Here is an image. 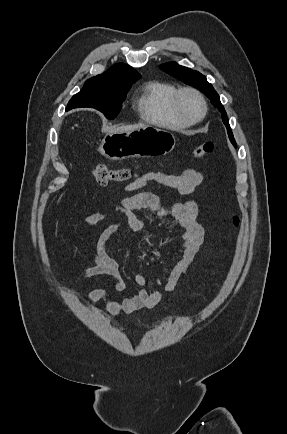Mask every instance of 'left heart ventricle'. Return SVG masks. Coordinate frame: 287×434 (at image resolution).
Here are the masks:
<instances>
[{"label": "left heart ventricle", "mask_w": 287, "mask_h": 434, "mask_svg": "<svg viewBox=\"0 0 287 434\" xmlns=\"http://www.w3.org/2000/svg\"><path fill=\"white\" fill-rule=\"evenodd\" d=\"M182 109L190 117H197L201 113V105L196 97L187 94L182 98Z\"/></svg>", "instance_id": "left-heart-ventricle-1"}]
</instances>
